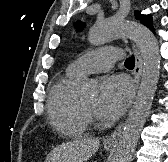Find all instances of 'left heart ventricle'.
<instances>
[{
  "label": "left heart ventricle",
  "instance_id": "1",
  "mask_svg": "<svg viewBox=\"0 0 168 162\" xmlns=\"http://www.w3.org/2000/svg\"><path fill=\"white\" fill-rule=\"evenodd\" d=\"M83 103L88 108L94 110L96 108V104H97V97L96 96H92L90 98H87V99L83 100Z\"/></svg>",
  "mask_w": 168,
  "mask_h": 162
}]
</instances>
